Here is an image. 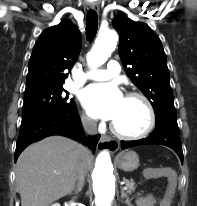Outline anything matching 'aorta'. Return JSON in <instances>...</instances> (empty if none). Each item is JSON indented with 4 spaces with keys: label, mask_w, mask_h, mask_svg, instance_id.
<instances>
[{
    "label": "aorta",
    "mask_w": 197,
    "mask_h": 206,
    "mask_svg": "<svg viewBox=\"0 0 197 206\" xmlns=\"http://www.w3.org/2000/svg\"><path fill=\"white\" fill-rule=\"evenodd\" d=\"M118 35L113 30L101 31L91 51L87 63L91 68L102 65L116 48ZM93 192L96 206H112L115 199V178L110 155L107 151L99 153L93 172Z\"/></svg>",
    "instance_id": "1"
}]
</instances>
